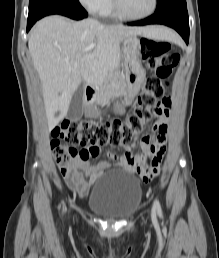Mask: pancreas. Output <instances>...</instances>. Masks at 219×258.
<instances>
[{
	"mask_svg": "<svg viewBox=\"0 0 219 258\" xmlns=\"http://www.w3.org/2000/svg\"><path fill=\"white\" fill-rule=\"evenodd\" d=\"M114 86H116L115 89ZM118 90H123V80H121V74L119 71H110L109 75L106 76L104 80V84L99 88L96 102L98 104L106 103Z\"/></svg>",
	"mask_w": 219,
	"mask_h": 258,
	"instance_id": "1",
	"label": "pancreas"
}]
</instances>
